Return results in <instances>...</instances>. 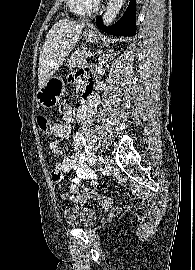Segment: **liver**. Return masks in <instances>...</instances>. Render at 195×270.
I'll return each mask as SVG.
<instances>
[{
	"label": "liver",
	"mask_w": 195,
	"mask_h": 270,
	"mask_svg": "<svg viewBox=\"0 0 195 270\" xmlns=\"http://www.w3.org/2000/svg\"><path fill=\"white\" fill-rule=\"evenodd\" d=\"M85 23L61 19L46 35L39 56L38 86L43 87L64 63L66 57L79 40Z\"/></svg>",
	"instance_id": "liver-1"
}]
</instances>
